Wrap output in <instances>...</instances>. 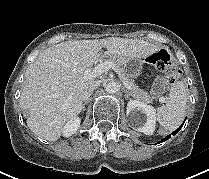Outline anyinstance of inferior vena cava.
Listing matches in <instances>:
<instances>
[{
    "mask_svg": "<svg viewBox=\"0 0 209 179\" xmlns=\"http://www.w3.org/2000/svg\"><path fill=\"white\" fill-rule=\"evenodd\" d=\"M99 86V82L98 81H95L93 82L89 87L88 89L83 93V100L84 101H87L89 100V97L91 96V94L93 93V91Z\"/></svg>",
    "mask_w": 209,
    "mask_h": 179,
    "instance_id": "obj_1",
    "label": "inferior vena cava"
}]
</instances>
